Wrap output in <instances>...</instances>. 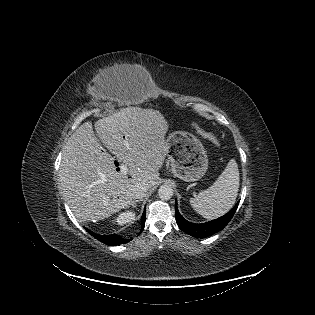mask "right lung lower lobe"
Wrapping results in <instances>:
<instances>
[{
	"label": "right lung lower lobe",
	"instance_id": "obj_1",
	"mask_svg": "<svg viewBox=\"0 0 315 315\" xmlns=\"http://www.w3.org/2000/svg\"><path fill=\"white\" fill-rule=\"evenodd\" d=\"M145 215L146 212L144 211L141 217V222H142V229L141 231L144 229V225H145ZM85 230L91 234L92 236H94L97 240H99L100 242L107 244V245H120L123 243H127L130 241V239H123L120 236L116 235V234H111V235H100V234H96L90 230H88L87 228H85Z\"/></svg>",
	"mask_w": 315,
	"mask_h": 315
}]
</instances>
